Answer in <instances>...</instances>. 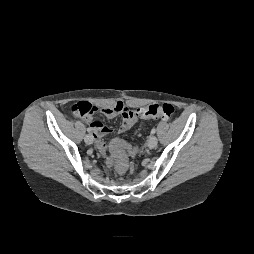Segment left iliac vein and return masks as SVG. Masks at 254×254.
I'll use <instances>...</instances> for the list:
<instances>
[{
  "instance_id": "left-iliac-vein-1",
  "label": "left iliac vein",
  "mask_w": 254,
  "mask_h": 254,
  "mask_svg": "<svg viewBox=\"0 0 254 254\" xmlns=\"http://www.w3.org/2000/svg\"><path fill=\"white\" fill-rule=\"evenodd\" d=\"M148 146L149 148H154L157 146V143H158V139L155 135H151L149 138H148Z\"/></svg>"
}]
</instances>
